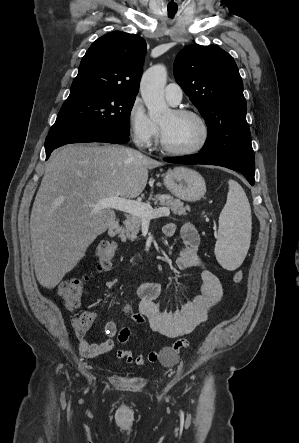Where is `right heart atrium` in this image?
<instances>
[{
  "label": "right heart atrium",
  "instance_id": "obj_1",
  "mask_svg": "<svg viewBox=\"0 0 299 443\" xmlns=\"http://www.w3.org/2000/svg\"><path fill=\"white\" fill-rule=\"evenodd\" d=\"M130 135L140 148L150 147L158 136V127L149 117L140 98H135L127 113Z\"/></svg>",
  "mask_w": 299,
  "mask_h": 443
}]
</instances>
